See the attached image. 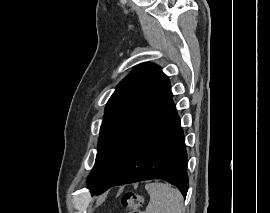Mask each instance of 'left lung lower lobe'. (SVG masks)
Returning <instances> with one entry per match:
<instances>
[{"label": "left lung lower lobe", "instance_id": "left-lung-lower-lobe-1", "mask_svg": "<svg viewBox=\"0 0 270 213\" xmlns=\"http://www.w3.org/2000/svg\"><path fill=\"white\" fill-rule=\"evenodd\" d=\"M172 93L136 129L100 184L91 193L100 194L116 185L163 179L188 191V162Z\"/></svg>", "mask_w": 270, "mask_h": 213}]
</instances>
